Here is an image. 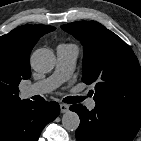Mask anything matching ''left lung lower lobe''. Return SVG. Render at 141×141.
<instances>
[{"label":"left lung lower lobe","mask_w":141,"mask_h":141,"mask_svg":"<svg viewBox=\"0 0 141 141\" xmlns=\"http://www.w3.org/2000/svg\"><path fill=\"white\" fill-rule=\"evenodd\" d=\"M70 110L80 117L77 141H132L141 126V116L97 104L91 111L81 104Z\"/></svg>","instance_id":"0a47b994"}]
</instances>
